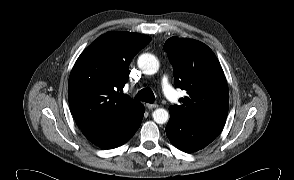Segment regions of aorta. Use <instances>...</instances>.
I'll list each match as a JSON object with an SVG mask.
<instances>
[{"label":"aorta","mask_w":294,"mask_h":180,"mask_svg":"<svg viewBox=\"0 0 294 180\" xmlns=\"http://www.w3.org/2000/svg\"><path fill=\"white\" fill-rule=\"evenodd\" d=\"M138 67L144 74L152 75L158 71L159 61L154 55L150 53H144L141 54L138 58ZM152 116L157 124H164L169 119L168 111L163 108L156 109Z\"/></svg>","instance_id":"762f6f07"}]
</instances>
